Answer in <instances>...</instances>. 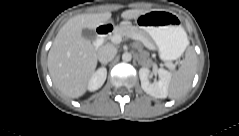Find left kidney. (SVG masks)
<instances>
[{
  "mask_svg": "<svg viewBox=\"0 0 239 136\" xmlns=\"http://www.w3.org/2000/svg\"><path fill=\"white\" fill-rule=\"evenodd\" d=\"M149 73L150 70L147 67H142L139 70L142 89L155 98H166L168 96V88L172 77L171 73L162 68L158 69L157 73L159 80L153 83L149 81Z\"/></svg>",
  "mask_w": 239,
  "mask_h": 136,
  "instance_id": "obj_1",
  "label": "left kidney"
}]
</instances>
